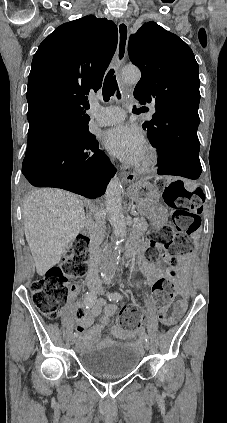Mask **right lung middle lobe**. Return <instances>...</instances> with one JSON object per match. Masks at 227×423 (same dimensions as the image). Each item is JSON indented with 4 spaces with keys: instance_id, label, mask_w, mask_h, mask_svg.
<instances>
[{
    "instance_id": "dd1d6c3e",
    "label": "right lung middle lobe",
    "mask_w": 227,
    "mask_h": 423,
    "mask_svg": "<svg viewBox=\"0 0 227 423\" xmlns=\"http://www.w3.org/2000/svg\"><path fill=\"white\" fill-rule=\"evenodd\" d=\"M89 137H94V135H92L91 133H89ZM86 142V140L82 137L76 141H74V145L73 146H81L82 144H84ZM27 156V154H25Z\"/></svg>"
}]
</instances>
